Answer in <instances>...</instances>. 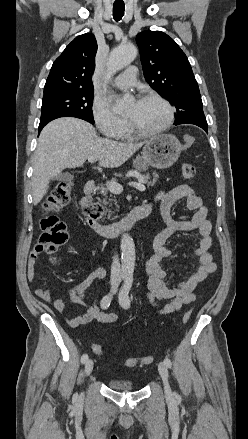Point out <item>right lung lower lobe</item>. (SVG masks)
Here are the masks:
<instances>
[{
  "label": "right lung lower lobe",
  "mask_w": 248,
  "mask_h": 439,
  "mask_svg": "<svg viewBox=\"0 0 248 439\" xmlns=\"http://www.w3.org/2000/svg\"><path fill=\"white\" fill-rule=\"evenodd\" d=\"M77 118H78V117H77ZM80 119H82V118H80ZM83 120H85V119H83ZM49 122H50V121L40 123V124H39V128H38V133H40V131L42 130V128H43L47 123H49Z\"/></svg>",
  "instance_id": "1"
}]
</instances>
